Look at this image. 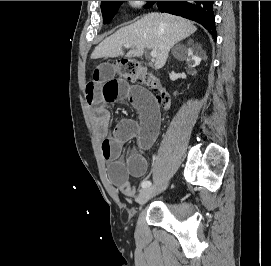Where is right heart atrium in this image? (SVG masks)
I'll list each match as a JSON object with an SVG mask.
<instances>
[{
  "mask_svg": "<svg viewBox=\"0 0 271 266\" xmlns=\"http://www.w3.org/2000/svg\"><path fill=\"white\" fill-rule=\"evenodd\" d=\"M129 5L133 8H140L144 6L147 1H128Z\"/></svg>",
  "mask_w": 271,
  "mask_h": 266,
  "instance_id": "d8ad5b80",
  "label": "right heart atrium"
}]
</instances>
